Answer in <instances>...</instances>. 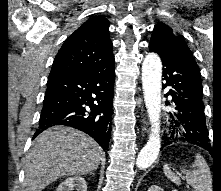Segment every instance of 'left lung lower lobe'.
Instances as JSON below:
<instances>
[{
  "mask_svg": "<svg viewBox=\"0 0 221 191\" xmlns=\"http://www.w3.org/2000/svg\"><path fill=\"white\" fill-rule=\"evenodd\" d=\"M149 50L158 53L162 59L165 82L163 88L170 87L165 96H172L176 110L171 115L174 125L162 148L165 145L186 142L210 151V146L201 145L208 137L202 101L203 87L200 70L189 47L185 41H180L171 49L149 45Z\"/></svg>",
  "mask_w": 221,
  "mask_h": 191,
  "instance_id": "left-lung-lower-lobe-1",
  "label": "left lung lower lobe"
}]
</instances>
